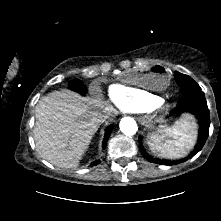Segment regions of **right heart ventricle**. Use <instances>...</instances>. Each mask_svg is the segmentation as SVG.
<instances>
[{
    "label": "right heart ventricle",
    "mask_w": 221,
    "mask_h": 221,
    "mask_svg": "<svg viewBox=\"0 0 221 221\" xmlns=\"http://www.w3.org/2000/svg\"><path fill=\"white\" fill-rule=\"evenodd\" d=\"M109 97L122 112L148 111L162 100L159 95L124 84L111 85Z\"/></svg>",
    "instance_id": "right-heart-ventricle-1"
}]
</instances>
